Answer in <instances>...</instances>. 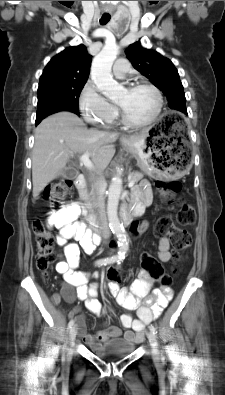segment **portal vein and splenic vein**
I'll return each mask as SVG.
<instances>
[{
	"mask_svg": "<svg viewBox=\"0 0 225 395\" xmlns=\"http://www.w3.org/2000/svg\"><path fill=\"white\" fill-rule=\"evenodd\" d=\"M89 153H84L82 156H80V161L83 163V165L88 168V169H93V164L91 160L89 159ZM135 183L130 180L128 183V187H132Z\"/></svg>",
	"mask_w": 225,
	"mask_h": 395,
	"instance_id": "obj_1",
	"label": "portal vein and splenic vein"
}]
</instances>
